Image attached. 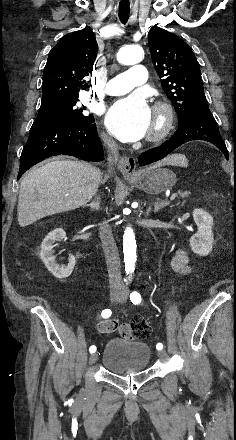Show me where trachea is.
<instances>
[{"label": "trachea", "instance_id": "1", "mask_svg": "<svg viewBox=\"0 0 236 440\" xmlns=\"http://www.w3.org/2000/svg\"><path fill=\"white\" fill-rule=\"evenodd\" d=\"M129 14H130V4L125 2L119 3V19L123 24H125L128 21Z\"/></svg>", "mask_w": 236, "mask_h": 440}]
</instances>
